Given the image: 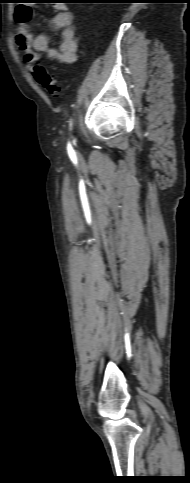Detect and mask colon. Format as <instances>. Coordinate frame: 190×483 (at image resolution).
<instances>
[{"instance_id":"5ec220e1","label":"colon","mask_w":190,"mask_h":483,"mask_svg":"<svg viewBox=\"0 0 190 483\" xmlns=\"http://www.w3.org/2000/svg\"><path fill=\"white\" fill-rule=\"evenodd\" d=\"M29 5V4H28ZM36 81L50 94L58 96L62 92V85L59 80L51 76L44 66L38 64L32 68L31 71Z\"/></svg>"}]
</instances>
